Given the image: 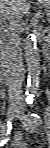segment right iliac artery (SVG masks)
Listing matches in <instances>:
<instances>
[{"mask_svg": "<svg viewBox=\"0 0 50 148\" xmlns=\"http://www.w3.org/2000/svg\"><path fill=\"white\" fill-rule=\"evenodd\" d=\"M1 129L4 136L1 138L0 146H3L8 140V134H10L11 123L7 122V124L1 126Z\"/></svg>", "mask_w": 50, "mask_h": 148, "instance_id": "obj_1", "label": "right iliac artery"}]
</instances>
